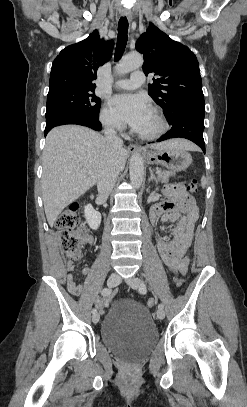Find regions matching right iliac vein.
<instances>
[{
  "label": "right iliac vein",
  "mask_w": 247,
  "mask_h": 407,
  "mask_svg": "<svg viewBox=\"0 0 247 407\" xmlns=\"http://www.w3.org/2000/svg\"><path fill=\"white\" fill-rule=\"evenodd\" d=\"M119 282H120V277L116 273H112L107 280V284L109 287H114V286L118 285ZM99 319H100V315L97 313H95L92 316V321L95 324L99 322Z\"/></svg>",
  "instance_id": "63e3f726"
}]
</instances>
